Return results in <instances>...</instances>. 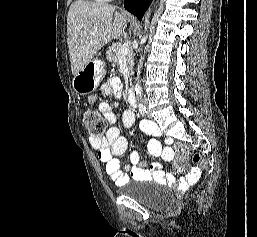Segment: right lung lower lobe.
<instances>
[{"instance_id": "1", "label": "right lung lower lobe", "mask_w": 257, "mask_h": 237, "mask_svg": "<svg viewBox=\"0 0 257 237\" xmlns=\"http://www.w3.org/2000/svg\"><path fill=\"white\" fill-rule=\"evenodd\" d=\"M152 0H124V7L127 11L142 20L146 9Z\"/></svg>"}]
</instances>
